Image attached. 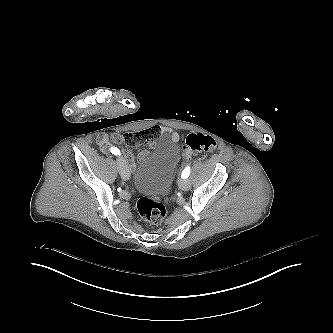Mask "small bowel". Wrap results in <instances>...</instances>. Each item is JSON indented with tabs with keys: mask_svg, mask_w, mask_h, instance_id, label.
Listing matches in <instances>:
<instances>
[{
	"mask_svg": "<svg viewBox=\"0 0 333 333\" xmlns=\"http://www.w3.org/2000/svg\"><path fill=\"white\" fill-rule=\"evenodd\" d=\"M154 127H158L160 129L162 135L168 137L170 142H172V143L179 142L180 135L173 128L167 127V126H162V127L154 126ZM180 153H181V150H180ZM144 155H145L144 153H141L140 156H139V160H141L144 157ZM181 156H182V153H181ZM182 159L184 160L183 156H182ZM136 171H137V168H136L135 161L133 159H131L128 163V166H127L128 177H131L132 175H134L136 173Z\"/></svg>",
	"mask_w": 333,
	"mask_h": 333,
	"instance_id": "c3829d8e",
	"label": "small bowel"
}]
</instances>
